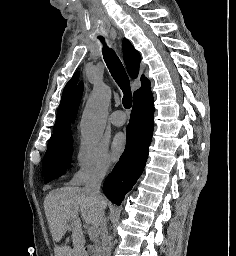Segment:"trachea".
Returning <instances> with one entry per match:
<instances>
[{
  "instance_id": "obj_1",
  "label": "trachea",
  "mask_w": 236,
  "mask_h": 256,
  "mask_svg": "<svg viewBox=\"0 0 236 256\" xmlns=\"http://www.w3.org/2000/svg\"><path fill=\"white\" fill-rule=\"evenodd\" d=\"M100 41L104 43L102 52L106 65L109 68L112 77L114 78V80L123 92V106L125 108H131L132 93L130 89L129 78L126 74L125 68L119 60V57L115 54V52L105 45L104 38H101Z\"/></svg>"
}]
</instances>
